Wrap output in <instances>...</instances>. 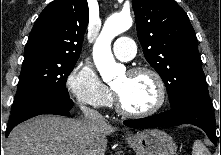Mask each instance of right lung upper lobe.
<instances>
[{
  "instance_id": "1",
  "label": "right lung upper lobe",
  "mask_w": 221,
  "mask_h": 155,
  "mask_svg": "<svg viewBox=\"0 0 221 155\" xmlns=\"http://www.w3.org/2000/svg\"><path fill=\"white\" fill-rule=\"evenodd\" d=\"M89 21L86 0H55L37 18L24 57L78 60Z\"/></svg>"
}]
</instances>
